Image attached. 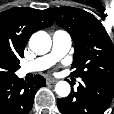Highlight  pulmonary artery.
I'll return each instance as SVG.
<instances>
[{"label":"pulmonary artery","instance_id":"pulmonary-artery-1","mask_svg":"<svg viewBox=\"0 0 114 114\" xmlns=\"http://www.w3.org/2000/svg\"><path fill=\"white\" fill-rule=\"evenodd\" d=\"M71 44L72 39L68 32L64 30H56L52 35L51 51L44 56L23 64L20 68V73L25 75L27 73L48 69L68 53Z\"/></svg>","mask_w":114,"mask_h":114}]
</instances>
